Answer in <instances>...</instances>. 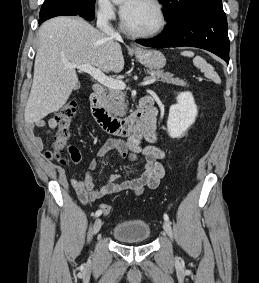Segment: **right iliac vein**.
Listing matches in <instances>:
<instances>
[{
    "instance_id": "right-iliac-vein-1",
    "label": "right iliac vein",
    "mask_w": 259,
    "mask_h": 283,
    "mask_svg": "<svg viewBox=\"0 0 259 283\" xmlns=\"http://www.w3.org/2000/svg\"><path fill=\"white\" fill-rule=\"evenodd\" d=\"M101 227H102V220L101 218H97L94 222L92 233L97 234L101 229Z\"/></svg>"
}]
</instances>
